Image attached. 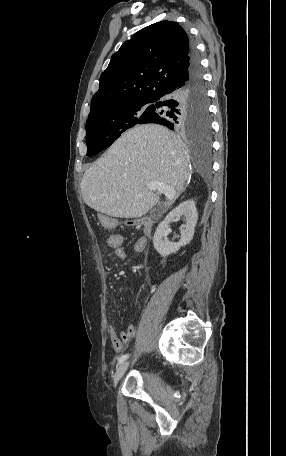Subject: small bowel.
Instances as JSON below:
<instances>
[{"label": "small bowel", "instance_id": "1", "mask_svg": "<svg viewBox=\"0 0 286 456\" xmlns=\"http://www.w3.org/2000/svg\"><path fill=\"white\" fill-rule=\"evenodd\" d=\"M111 236H115L117 238L116 243L113 244L110 242ZM111 236L108 239V245L112 249L114 257L118 260H124L127 257V253L123 247L122 236L117 233L112 234ZM146 244L147 240L145 238H138L133 245L134 253H142L146 247ZM134 288H136L135 285ZM135 331V324H130L125 331H120L119 333L116 331V328L112 323L109 324V333L111 336L112 346L117 353L123 351L125 345L133 338Z\"/></svg>", "mask_w": 286, "mask_h": 456}]
</instances>
